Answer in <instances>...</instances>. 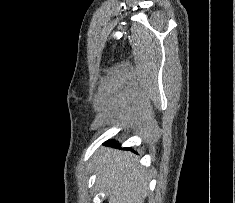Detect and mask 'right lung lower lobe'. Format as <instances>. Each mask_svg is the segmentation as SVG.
<instances>
[{
    "label": "right lung lower lobe",
    "instance_id": "right-lung-lower-lobe-1",
    "mask_svg": "<svg viewBox=\"0 0 235 203\" xmlns=\"http://www.w3.org/2000/svg\"><path fill=\"white\" fill-rule=\"evenodd\" d=\"M106 144L110 145V146L118 147V144H115L114 141H108V142H106Z\"/></svg>",
    "mask_w": 235,
    "mask_h": 203
}]
</instances>
